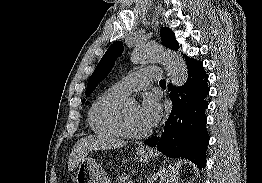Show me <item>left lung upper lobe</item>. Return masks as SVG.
I'll return each instance as SVG.
<instances>
[{
    "label": "left lung upper lobe",
    "mask_w": 262,
    "mask_h": 183,
    "mask_svg": "<svg viewBox=\"0 0 262 183\" xmlns=\"http://www.w3.org/2000/svg\"><path fill=\"white\" fill-rule=\"evenodd\" d=\"M161 40L163 44L170 49L177 50L179 47L173 31L169 28L164 27L161 29ZM122 52L123 43L119 41L113 43L108 48V50L98 63L93 74L89 78L88 85L85 91L86 96H89L96 88L98 83H100L108 75L115 63V60L121 55ZM84 102L85 99L82 103Z\"/></svg>",
    "instance_id": "obj_1"
}]
</instances>
